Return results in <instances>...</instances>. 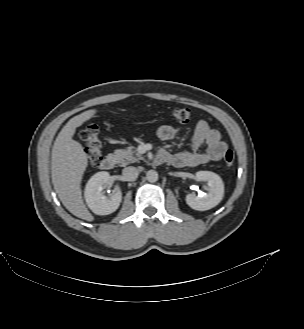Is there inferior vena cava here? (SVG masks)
I'll return each mask as SVG.
<instances>
[{
	"instance_id": "obj_1",
	"label": "inferior vena cava",
	"mask_w": 304,
	"mask_h": 329,
	"mask_svg": "<svg viewBox=\"0 0 304 329\" xmlns=\"http://www.w3.org/2000/svg\"><path fill=\"white\" fill-rule=\"evenodd\" d=\"M138 169L133 166H129L123 169L122 174L126 181H133L138 177Z\"/></svg>"
}]
</instances>
